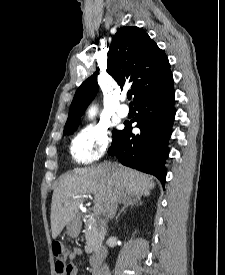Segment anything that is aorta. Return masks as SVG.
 Returning <instances> with one entry per match:
<instances>
[{"label":"aorta","instance_id":"aorta-1","mask_svg":"<svg viewBox=\"0 0 225 275\" xmlns=\"http://www.w3.org/2000/svg\"><path fill=\"white\" fill-rule=\"evenodd\" d=\"M95 111H96L95 108H91V109L89 110V114H90V115H93V114L95 113Z\"/></svg>","mask_w":225,"mask_h":275}]
</instances>
